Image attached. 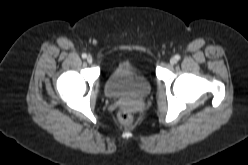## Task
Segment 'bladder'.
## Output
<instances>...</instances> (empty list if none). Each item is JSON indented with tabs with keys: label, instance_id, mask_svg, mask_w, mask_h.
<instances>
[{
	"label": "bladder",
	"instance_id": "obj_1",
	"mask_svg": "<svg viewBox=\"0 0 248 165\" xmlns=\"http://www.w3.org/2000/svg\"><path fill=\"white\" fill-rule=\"evenodd\" d=\"M152 85L138 68L129 61L117 63L105 80V93L111 99L146 98Z\"/></svg>",
	"mask_w": 248,
	"mask_h": 165
}]
</instances>
